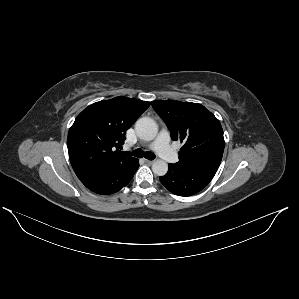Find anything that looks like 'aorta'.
Here are the masks:
<instances>
[{
	"label": "aorta",
	"instance_id": "762f6f07",
	"mask_svg": "<svg viewBox=\"0 0 299 299\" xmlns=\"http://www.w3.org/2000/svg\"><path fill=\"white\" fill-rule=\"evenodd\" d=\"M135 130L140 139L151 141L157 136L158 126L153 119L142 117L137 120ZM152 171L158 176H164L168 171V164L161 159H157L152 164Z\"/></svg>",
	"mask_w": 299,
	"mask_h": 299
}]
</instances>
